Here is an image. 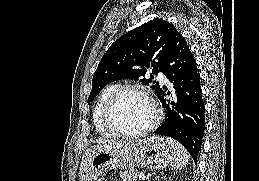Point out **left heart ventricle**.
Here are the masks:
<instances>
[{"label":"left heart ventricle","instance_id":"left-heart-ventricle-1","mask_svg":"<svg viewBox=\"0 0 259 181\" xmlns=\"http://www.w3.org/2000/svg\"><path fill=\"white\" fill-rule=\"evenodd\" d=\"M153 118V109L148 99L140 92H125L113 112L117 128L127 132L143 129Z\"/></svg>","mask_w":259,"mask_h":181}]
</instances>
